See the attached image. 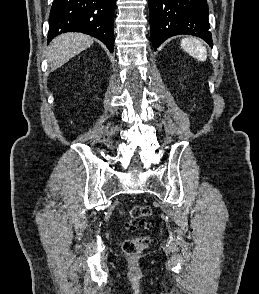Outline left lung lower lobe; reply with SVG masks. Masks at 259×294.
<instances>
[{
  "label": "left lung lower lobe",
  "instance_id": "1",
  "mask_svg": "<svg viewBox=\"0 0 259 294\" xmlns=\"http://www.w3.org/2000/svg\"><path fill=\"white\" fill-rule=\"evenodd\" d=\"M152 46L156 49L166 39L193 35L213 45L206 0H148Z\"/></svg>",
  "mask_w": 259,
  "mask_h": 294
}]
</instances>
